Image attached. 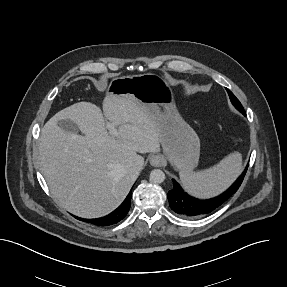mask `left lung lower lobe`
<instances>
[{
  "label": "left lung lower lobe",
  "mask_w": 287,
  "mask_h": 287,
  "mask_svg": "<svg viewBox=\"0 0 287 287\" xmlns=\"http://www.w3.org/2000/svg\"><path fill=\"white\" fill-rule=\"evenodd\" d=\"M245 115V112L242 113ZM248 165L242 175L233 185L221 195L206 200L196 199L185 193L180 185L172 179L173 187L168 192L170 208L177 214L187 218H196L207 215L226 202L240 187L246 174Z\"/></svg>",
  "instance_id": "obj_1"
}]
</instances>
